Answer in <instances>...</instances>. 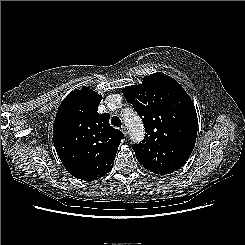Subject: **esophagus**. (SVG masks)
Masks as SVG:
<instances>
[{
    "label": "esophagus",
    "mask_w": 245,
    "mask_h": 245,
    "mask_svg": "<svg viewBox=\"0 0 245 245\" xmlns=\"http://www.w3.org/2000/svg\"><path fill=\"white\" fill-rule=\"evenodd\" d=\"M121 131L123 132V134H124L125 137L128 136V131H127V129H126L125 126H122V127H121Z\"/></svg>",
    "instance_id": "obj_1"
}]
</instances>
